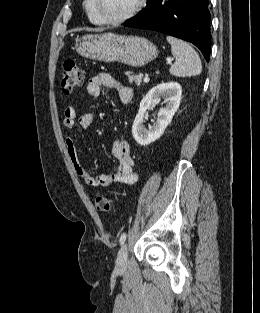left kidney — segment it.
<instances>
[{
    "instance_id": "left-kidney-1",
    "label": "left kidney",
    "mask_w": 260,
    "mask_h": 313,
    "mask_svg": "<svg viewBox=\"0 0 260 313\" xmlns=\"http://www.w3.org/2000/svg\"><path fill=\"white\" fill-rule=\"evenodd\" d=\"M181 95L182 88L176 82L159 84L146 94L140 102L139 111L132 126V135L138 144L146 146L162 136L179 108ZM161 97L164 99L165 107L160 108L157 119L147 129L143 124L145 114L151 105L159 102Z\"/></svg>"
}]
</instances>
